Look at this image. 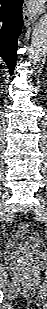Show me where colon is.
Masks as SVG:
<instances>
[{
	"instance_id": "1",
	"label": "colon",
	"mask_w": 47,
	"mask_h": 309,
	"mask_svg": "<svg viewBox=\"0 0 47 309\" xmlns=\"http://www.w3.org/2000/svg\"><path fill=\"white\" fill-rule=\"evenodd\" d=\"M19 227H20V229H25V228H27L28 226H27V224H25V223H21V224L19 225Z\"/></svg>"
}]
</instances>
